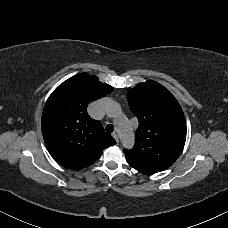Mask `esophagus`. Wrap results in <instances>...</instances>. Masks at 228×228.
Returning <instances> with one entry per match:
<instances>
[{
	"label": "esophagus",
	"mask_w": 228,
	"mask_h": 228,
	"mask_svg": "<svg viewBox=\"0 0 228 228\" xmlns=\"http://www.w3.org/2000/svg\"><path fill=\"white\" fill-rule=\"evenodd\" d=\"M113 137H114V139L118 142L119 141V138H118V135L117 134H113Z\"/></svg>",
	"instance_id": "1"
}]
</instances>
